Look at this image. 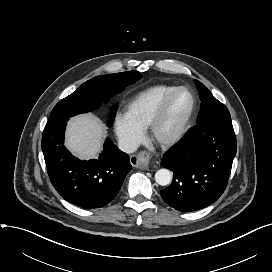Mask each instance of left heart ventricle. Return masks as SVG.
<instances>
[{"label":"left heart ventricle","instance_id":"left-heart-ventricle-1","mask_svg":"<svg viewBox=\"0 0 272 272\" xmlns=\"http://www.w3.org/2000/svg\"><path fill=\"white\" fill-rule=\"evenodd\" d=\"M191 107V95L186 91L178 93L158 128V136L160 138H168L174 135L188 116Z\"/></svg>","mask_w":272,"mask_h":272}]
</instances>
